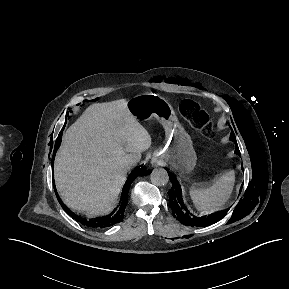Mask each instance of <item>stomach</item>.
<instances>
[{
	"label": "stomach",
	"mask_w": 289,
	"mask_h": 289,
	"mask_svg": "<svg viewBox=\"0 0 289 289\" xmlns=\"http://www.w3.org/2000/svg\"><path fill=\"white\" fill-rule=\"evenodd\" d=\"M127 107L137 120L156 118L165 130L163 154L167 162L182 173L193 171L197 156L192 140L166 100L153 94L138 95L128 100Z\"/></svg>",
	"instance_id": "obj_1"
}]
</instances>
